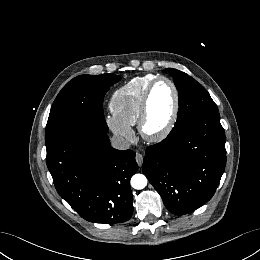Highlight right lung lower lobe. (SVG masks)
Returning a JSON list of instances; mask_svg holds the SVG:
<instances>
[{"instance_id": "obj_1", "label": "right lung lower lobe", "mask_w": 260, "mask_h": 260, "mask_svg": "<svg viewBox=\"0 0 260 260\" xmlns=\"http://www.w3.org/2000/svg\"><path fill=\"white\" fill-rule=\"evenodd\" d=\"M59 195L85 220L115 224L130 219V178L138 170L132 150L111 147L105 132L83 128L46 157Z\"/></svg>"}]
</instances>
